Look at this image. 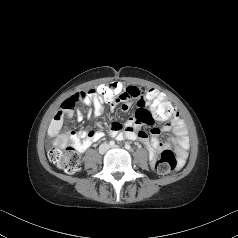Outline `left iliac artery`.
Masks as SVG:
<instances>
[{
	"label": "left iliac artery",
	"mask_w": 238,
	"mask_h": 238,
	"mask_svg": "<svg viewBox=\"0 0 238 238\" xmlns=\"http://www.w3.org/2000/svg\"><path fill=\"white\" fill-rule=\"evenodd\" d=\"M125 148H126L127 150H130V149H131V146H130L129 144H125Z\"/></svg>",
	"instance_id": "1"
}]
</instances>
